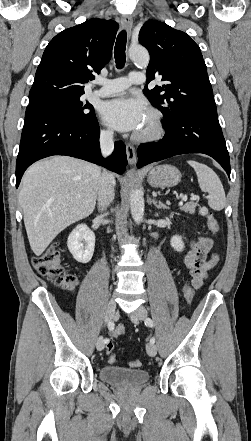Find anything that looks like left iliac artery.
I'll use <instances>...</instances> for the list:
<instances>
[{
	"label": "left iliac artery",
	"instance_id": "1",
	"mask_svg": "<svg viewBox=\"0 0 251 441\" xmlns=\"http://www.w3.org/2000/svg\"><path fill=\"white\" fill-rule=\"evenodd\" d=\"M144 322H145V325H146V326H149V327H153V326H154L153 321H152L150 318H146V319L144 320ZM150 343H155V337H152V338L150 339Z\"/></svg>",
	"mask_w": 251,
	"mask_h": 441
}]
</instances>
